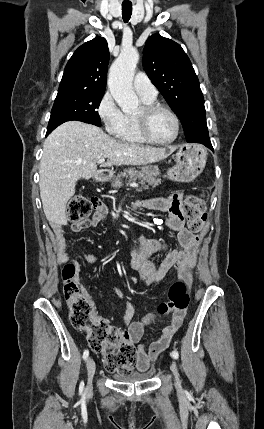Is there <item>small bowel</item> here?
Wrapping results in <instances>:
<instances>
[{
  "instance_id": "obj_1",
  "label": "small bowel",
  "mask_w": 264,
  "mask_h": 429,
  "mask_svg": "<svg viewBox=\"0 0 264 429\" xmlns=\"http://www.w3.org/2000/svg\"><path fill=\"white\" fill-rule=\"evenodd\" d=\"M183 193L176 192L168 197L150 198L137 203L136 206H141L150 210H158L167 212L166 219H159L161 225H165L171 230L178 232L179 248L169 252L160 264L153 261V256L156 252L164 249V244L160 241L142 237L141 248L138 252L133 253L131 265L138 269L141 280L146 286L159 284L165 276L175 270L180 278L190 284L191 277L187 268L193 266L195 262V252L198 246L199 238L184 226V216L181 206L183 201ZM106 209L101 206L100 210L91 219L73 222L70 226L71 231L78 233L85 229L96 227L99 221L104 217ZM55 246L60 260H68L67 239L61 227L54 230ZM142 254V261H137V254ZM85 260L90 264H95L98 261L94 254L84 253ZM77 283H80V275H76ZM82 290H86L82 287ZM116 294L122 298V293L115 288ZM134 308L130 303H126L121 316V321L128 326V334L133 342L137 343L141 340L144 330L152 324L156 318L153 313L146 315L139 322H132ZM184 319V313H173L170 324L163 330L161 337L152 342L147 348L140 345L136 350V360L134 368L140 372L148 370L150 364L154 362L158 355L168 348L173 335L181 327Z\"/></svg>"
}]
</instances>
